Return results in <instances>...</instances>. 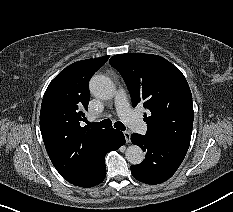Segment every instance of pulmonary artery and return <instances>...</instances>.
I'll use <instances>...</instances> for the list:
<instances>
[{"mask_svg":"<svg viewBox=\"0 0 233 212\" xmlns=\"http://www.w3.org/2000/svg\"><path fill=\"white\" fill-rule=\"evenodd\" d=\"M115 104L120 118L134 131L145 134L147 126L130 108L126 93L120 89L115 96Z\"/></svg>","mask_w":233,"mask_h":212,"instance_id":"pulmonary-artery-1","label":"pulmonary artery"}]
</instances>
